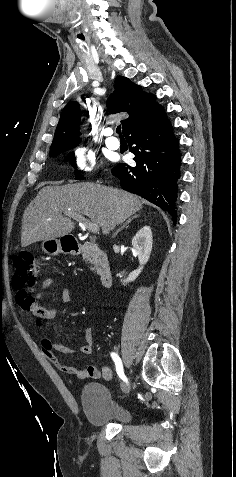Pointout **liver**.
I'll list each match as a JSON object with an SVG mask.
<instances>
[{
  "label": "liver",
  "mask_w": 236,
  "mask_h": 477,
  "mask_svg": "<svg viewBox=\"0 0 236 477\" xmlns=\"http://www.w3.org/2000/svg\"><path fill=\"white\" fill-rule=\"evenodd\" d=\"M142 206L140 197L113 187L93 183L46 186L23 214L21 245L68 235L75 224L63 216L65 212L87 216L107 235Z\"/></svg>",
  "instance_id": "1"
}]
</instances>
